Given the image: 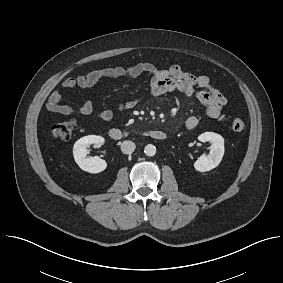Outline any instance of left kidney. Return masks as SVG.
I'll list each match as a JSON object with an SVG mask.
<instances>
[{"label":"left kidney","mask_w":283,"mask_h":283,"mask_svg":"<svg viewBox=\"0 0 283 283\" xmlns=\"http://www.w3.org/2000/svg\"><path fill=\"white\" fill-rule=\"evenodd\" d=\"M201 142H210V151L201 155L194 163V168L199 172H206L217 167L224 155V138L214 132H205L198 136Z\"/></svg>","instance_id":"left-kidney-1"}]
</instances>
